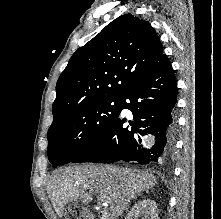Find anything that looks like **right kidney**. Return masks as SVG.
<instances>
[{
  "label": "right kidney",
  "instance_id": "right-kidney-1",
  "mask_svg": "<svg viewBox=\"0 0 221 219\" xmlns=\"http://www.w3.org/2000/svg\"><path fill=\"white\" fill-rule=\"evenodd\" d=\"M159 219L156 202L150 199H143L135 204L125 219Z\"/></svg>",
  "mask_w": 221,
  "mask_h": 219
}]
</instances>
